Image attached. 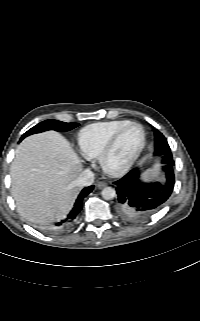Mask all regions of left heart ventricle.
<instances>
[{"mask_svg": "<svg viewBox=\"0 0 200 321\" xmlns=\"http://www.w3.org/2000/svg\"><path fill=\"white\" fill-rule=\"evenodd\" d=\"M142 141V131L139 127L131 126L120 136L113 152L109 156L110 167L123 166L135 153Z\"/></svg>", "mask_w": 200, "mask_h": 321, "instance_id": "left-heart-ventricle-1", "label": "left heart ventricle"}]
</instances>
